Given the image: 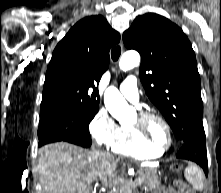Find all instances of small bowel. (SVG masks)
<instances>
[{
  "label": "small bowel",
  "instance_id": "small-bowel-1",
  "mask_svg": "<svg viewBox=\"0 0 221 193\" xmlns=\"http://www.w3.org/2000/svg\"><path fill=\"white\" fill-rule=\"evenodd\" d=\"M154 193H183V190L181 187H163L157 189Z\"/></svg>",
  "mask_w": 221,
  "mask_h": 193
}]
</instances>
